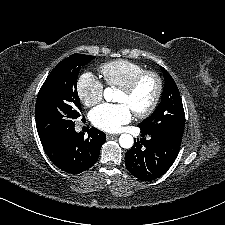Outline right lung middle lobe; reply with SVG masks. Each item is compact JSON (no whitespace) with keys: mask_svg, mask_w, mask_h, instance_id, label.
Instances as JSON below:
<instances>
[{"mask_svg":"<svg viewBox=\"0 0 225 225\" xmlns=\"http://www.w3.org/2000/svg\"><path fill=\"white\" fill-rule=\"evenodd\" d=\"M95 56L73 54L62 60L47 76L36 100L35 120L41 141L65 133L80 117L77 78L82 66Z\"/></svg>","mask_w":225,"mask_h":225,"instance_id":"obj_1","label":"right lung middle lobe"}]
</instances>
